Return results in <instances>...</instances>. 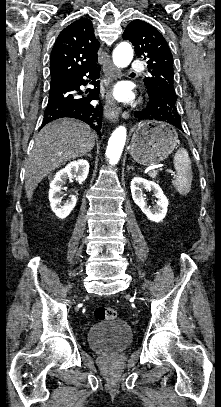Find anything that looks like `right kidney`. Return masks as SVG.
Wrapping results in <instances>:
<instances>
[{"mask_svg": "<svg viewBox=\"0 0 221 407\" xmlns=\"http://www.w3.org/2000/svg\"><path fill=\"white\" fill-rule=\"evenodd\" d=\"M89 173V163L87 160L79 159L72 161L65 168L58 171L50 183L49 201L52 211L59 219H65L74 209L77 199L70 196L66 203L61 201V189L65 181L75 177L78 182H84Z\"/></svg>", "mask_w": 221, "mask_h": 407, "instance_id": "obj_1", "label": "right kidney"}]
</instances>
